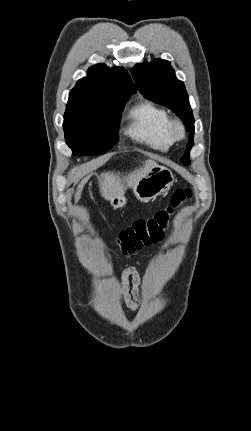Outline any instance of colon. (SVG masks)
Segmentation results:
<instances>
[{
  "mask_svg": "<svg viewBox=\"0 0 251 431\" xmlns=\"http://www.w3.org/2000/svg\"><path fill=\"white\" fill-rule=\"evenodd\" d=\"M191 196L192 191L189 188L177 189L166 208L159 210L148 219L136 220L123 229L116 239L122 254H132L145 246L160 242L175 211Z\"/></svg>",
  "mask_w": 251,
  "mask_h": 431,
  "instance_id": "1",
  "label": "colon"
}]
</instances>
